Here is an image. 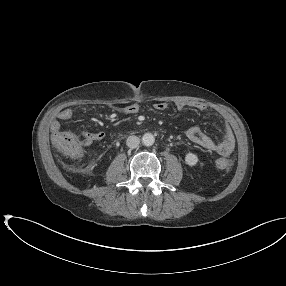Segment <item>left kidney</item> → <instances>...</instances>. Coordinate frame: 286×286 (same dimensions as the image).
I'll list each match as a JSON object with an SVG mask.
<instances>
[{
    "instance_id": "1",
    "label": "left kidney",
    "mask_w": 286,
    "mask_h": 286,
    "mask_svg": "<svg viewBox=\"0 0 286 286\" xmlns=\"http://www.w3.org/2000/svg\"><path fill=\"white\" fill-rule=\"evenodd\" d=\"M185 162L189 166H195L198 163V157L196 154L189 152L185 155Z\"/></svg>"
}]
</instances>
